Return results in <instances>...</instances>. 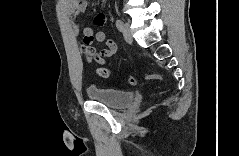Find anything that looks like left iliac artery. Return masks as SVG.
I'll use <instances>...</instances> for the list:
<instances>
[{"label":"left iliac artery","mask_w":239,"mask_h":156,"mask_svg":"<svg viewBox=\"0 0 239 156\" xmlns=\"http://www.w3.org/2000/svg\"><path fill=\"white\" fill-rule=\"evenodd\" d=\"M115 24H116L117 29L121 31L123 28V22L120 19H116Z\"/></svg>","instance_id":"1"}]
</instances>
